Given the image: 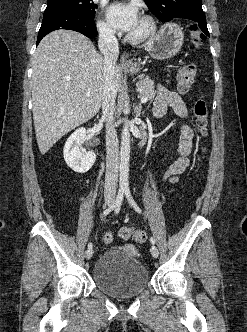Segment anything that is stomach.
I'll list each match as a JSON object with an SVG mask.
<instances>
[{
	"label": "stomach",
	"mask_w": 247,
	"mask_h": 332,
	"mask_svg": "<svg viewBox=\"0 0 247 332\" xmlns=\"http://www.w3.org/2000/svg\"><path fill=\"white\" fill-rule=\"evenodd\" d=\"M182 28L174 23H167L161 27L157 35L146 43V50L152 58L165 60L174 57L183 44ZM141 70L139 64L125 69L128 73H137Z\"/></svg>",
	"instance_id": "0dacf381"
}]
</instances>
